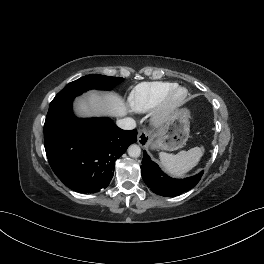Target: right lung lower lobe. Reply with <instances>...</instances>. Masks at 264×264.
<instances>
[{
  "label": "right lung lower lobe",
  "instance_id": "1",
  "mask_svg": "<svg viewBox=\"0 0 264 264\" xmlns=\"http://www.w3.org/2000/svg\"><path fill=\"white\" fill-rule=\"evenodd\" d=\"M136 141V130H122L109 118H76L72 101L47 115L44 124V146L52 170L79 193L106 188L115 161Z\"/></svg>",
  "mask_w": 264,
  "mask_h": 264
}]
</instances>
